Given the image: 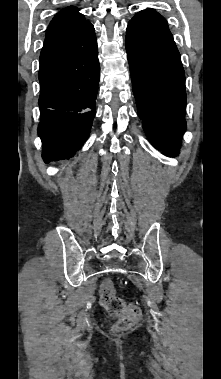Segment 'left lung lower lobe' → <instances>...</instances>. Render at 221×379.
<instances>
[{"label": "left lung lower lobe", "instance_id": "1", "mask_svg": "<svg viewBox=\"0 0 221 379\" xmlns=\"http://www.w3.org/2000/svg\"><path fill=\"white\" fill-rule=\"evenodd\" d=\"M137 114L150 142L167 156L186 130L185 72L167 21L154 9L137 13L125 39Z\"/></svg>", "mask_w": 221, "mask_h": 379}]
</instances>
